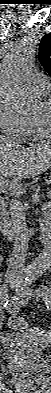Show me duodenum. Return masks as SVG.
I'll return each instance as SVG.
<instances>
[{
  "mask_svg": "<svg viewBox=\"0 0 51 393\" xmlns=\"http://www.w3.org/2000/svg\"><path fill=\"white\" fill-rule=\"evenodd\" d=\"M51 214L48 211L43 212L41 224H35L28 229V232H35L36 230L45 229L50 225ZM0 229L2 233L9 238L15 237L16 228L13 223L9 220V216L5 209V203L0 200Z\"/></svg>",
  "mask_w": 51,
  "mask_h": 393,
  "instance_id": "410a0bca",
  "label": "duodenum"
}]
</instances>
